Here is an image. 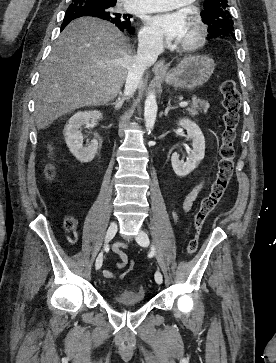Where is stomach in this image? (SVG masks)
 <instances>
[{"instance_id": "0dacf381", "label": "stomach", "mask_w": 276, "mask_h": 363, "mask_svg": "<svg viewBox=\"0 0 276 363\" xmlns=\"http://www.w3.org/2000/svg\"><path fill=\"white\" fill-rule=\"evenodd\" d=\"M214 68L215 63L208 56H187L171 71L160 76L170 86L194 90L209 80Z\"/></svg>"}]
</instances>
